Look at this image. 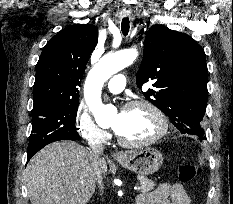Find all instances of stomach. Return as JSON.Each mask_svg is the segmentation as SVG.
I'll return each instance as SVG.
<instances>
[{"mask_svg":"<svg viewBox=\"0 0 233 204\" xmlns=\"http://www.w3.org/2000/svg\"><path fill=\"white\" fill-rule=\"evenodd\" d=\"M118 163L140 176H148L158 171L163 164V156L154 148H144L124 154L117 159Z\"/></svg>","mask_w":233,"mask_h":204,"instance_id":"1","label":"stomach"}]
</instances>
